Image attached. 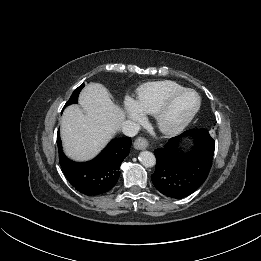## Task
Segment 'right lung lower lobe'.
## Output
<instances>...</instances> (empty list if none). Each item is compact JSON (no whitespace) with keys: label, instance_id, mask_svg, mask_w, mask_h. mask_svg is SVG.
Instances as JSON below:
<instances>
[{"label":"right lung lower lobe","instance_id":"right-lung-lower-lobe-1","mask_svg":"<svg viewBox=\"0 0 261 261\" xmlns=\"http://www.w3.org/2000/svg\"><path fill=\"white\" fill-rule=\"evenodd\" d=\"M131 143L130 137L114 139L95 159L77 163L63 153L58 133L59 162L66 178L76 190L88 196L100 195L116 185L120 165L129 154Z\"/></svg>","mask_w":261,"mask_h":261}]
</instances>
